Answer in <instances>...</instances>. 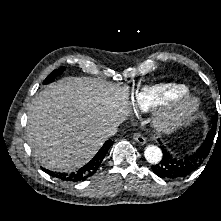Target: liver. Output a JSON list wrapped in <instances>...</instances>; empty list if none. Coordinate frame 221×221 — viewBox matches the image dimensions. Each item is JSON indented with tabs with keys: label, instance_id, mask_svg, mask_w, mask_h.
<instances>
[{
	"label": "liver",
	"instance_id": "obj_1",
	"mask_svg": "<svg viewBox=\"0 0 221 221\" xmlns=\"http://www.w3.org/2000/svg\"><path fill=\"white\" fill-rule=\"evenodd\" d=\"M128 92L89 77L67 78L37 94L28 114L27 140L43 167L72 172L105 142L104 131L130 113Z\"/></svg>",
	"mask_w": 221,
	"mask_h": 221
}]
</instances>
